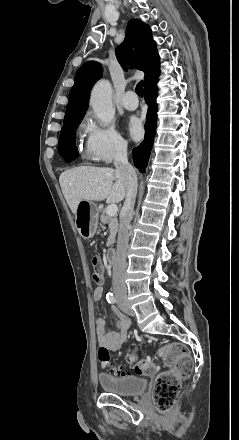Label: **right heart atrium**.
Instances as JSON below:
<instances>
[{
	"label": "right heart atrium",
	"mask_w": 239,
	"mask_h": 440,
	"mask_svg": "<svg viewBox=\"0 0 239 440\" xmlns=\"http://www.w3.org/2000/svg\"><path fill=\"white\" fill-rule=\"evenodd\" d=\"M85 156L94 162L109 164L125 153V143L110 126L96 122L88 115L83 123Z\"/></svg>",
	"instance_id": "d8ad5b80"
}]
</instances>
